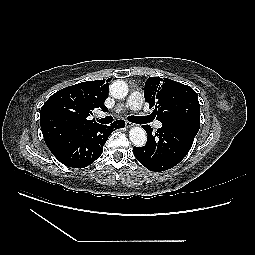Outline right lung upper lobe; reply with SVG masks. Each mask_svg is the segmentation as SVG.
Segmentation results:
<instances>
[{
	"instance_id": "1",
	"label": "right lung upper lobe",
	"mask_w": 255,
	"mask_h": 255,
	"mask_svg": "<svg viewBox=\"0 0 255 255\" xmlns=\"http://www.w3.org/2000/svg\"><path fill=\"white\" fill-rule=\"evenodd\" d=\"M108 80L81 82L54 93L41 108L40 125L46 145L55 153L74 136L100 125L88 120L92 110L107 111Z\"/></svg>"
}]
</instances>
